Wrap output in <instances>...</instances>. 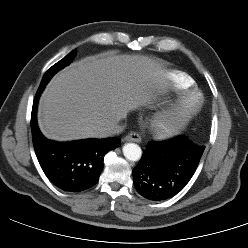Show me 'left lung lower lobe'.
Segmentation results:
<instances>
[{"label": "left lung lower lobe", "instance_id": "obj_1", "mask_svg": "<svg viewBox=\"0 0 248 248\" xmlns=\"http://www.w3.org/2000/svg\"><path fill=\"white\" fill-rule=\"evenodd\" d=\"M204 149L182 135L164 142H150L133 169L137 192L152 201L172 198L194 175Z\"/></svg>", "mask_w": 248, "mask_h": 248}]
</instances>
